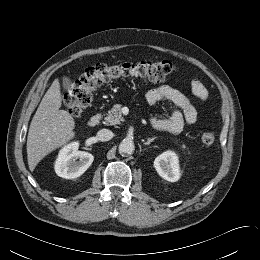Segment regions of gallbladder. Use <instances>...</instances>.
Here are the masks:
<instances>
[{
  "mask_svg": "<svg viewBox=\"0 0 260 260\" xmlns=\"http://www.w3.org/2000/svg\"><path fill=\"white\" fill-rule=\"evenodd\" d=\"M62 85H63V88L67 91H69L70 87H71V80L69 77H66L64 76L62 78Z\"/></svg>",
  "mask_w": 260,
  "mask_h": 260,
  "instance_id": "gallbladder-1",
  "label": "gallbladder"
}]
</instances>
